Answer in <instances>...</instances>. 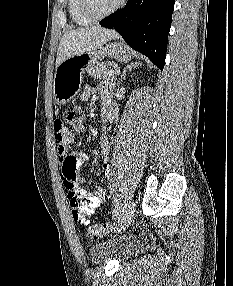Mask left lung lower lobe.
<instances>
[{"label": "left lung lower lobe", "instance_id": "0a47b994", "mask_svg": "<svg viewBox=\"0 0 233 286\" xmlns=\"http://www.w3.org/2000/svg\"><path fill=\"white\" fill-rule=\"evenodd\" d=\"M175 0H128L122 10L99 22L163 70Z\"/></svg>", "mask_w": 233, "mask_h": 286}]
</instances>
